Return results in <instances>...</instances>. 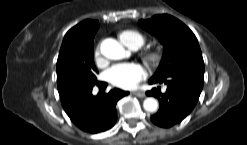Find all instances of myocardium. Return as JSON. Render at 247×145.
<instances>
[{"label":"myocardium","mask_w":247,"mask_h":145,"mask_svg":"<svg viewBox=\"0 0 247 145\" xmlns=\"http://www.w3.org/2000/svg\"><path fill=\"white\" fill-rule=\"evenodd\" d=\"M145 59L152 65H157L160 61V54L158 52H150L146 54Z\"/></svg>","instance_id":"obj_1"}]
</instances>
